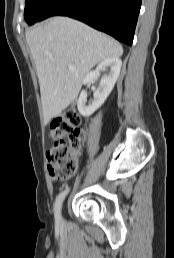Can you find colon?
I'll list each match as a JSON object with an SVG mask.
<instances>
[{
	"label": "colon",
	"mask_w": 174,
	"mask_h": 258,
	"mask_svg": "<svg viewBox=\"0 0 174 258\" xmlns=\"http://www.w3.org/2000/svg\"><path fill=\"white\" fill-rule=\"evenodd\" d=\"M80 117L68 111L63 118L50 124L52 147L47 152L51 174L59 179L71 177L77 169V153L83 138L79 129Z\"/></svg>",
	"instance_id": "colon-1"
}]
</instances>
